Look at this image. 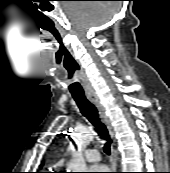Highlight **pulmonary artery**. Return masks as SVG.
I'll return each instance as SVG.
<instances>
[{
	"label": "pulmonary artery",
	"mask_w": 170,
	"mask_h": 173,
	"mask_svg": "<svg viewBox=\"0 0 170 173\" xmlns=\"http://www.w3.org/2000/svg\"><path fill=\"white\" fill-rule=\"evenodd\" d=\"M84 157L89 163H96L100 161V154L97 149H88L84 152Z\"/></svg>",
	"instance_id": "pulmonary-artery-1"
}]
</instances>
